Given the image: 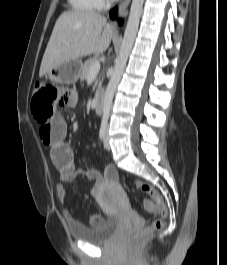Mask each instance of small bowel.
Segmentation results:
<instances>
[{
	"label": "small bowel",
	"instance_id": "c3829d8e",
	"mask_svg": "<svg viewBox=\"0 0 227 265\" xmlns=\"http://www.w3.org/2000/svg\"><path fill=\"white\" fill-rule=\"evenodd\" d=\"M68 85H71V82H68ZM77 98L78 94L75 90L66 92L63 99H60L59 108L75 106ZM39 132L41 141L50 148V158L53 164L60 172V182L57 184L56 191L61 202H66L68 199L64 183L74 180L79 175L94 181L91 189L92 196H97L103 184L116 182L118 175L112 166L106 167L103 173L94 168L84 170L75 166L73 150L66 141L67 124L61 116L56 115L50 120H44V125L40 127ZM65 216L72 223L76 221L70 211H67ZM102 222L103 218L99 215L90 217L92 226Z\"/></svg>",
	"mask_w": 227,
	"mask_h": 265
}]
</instances>
